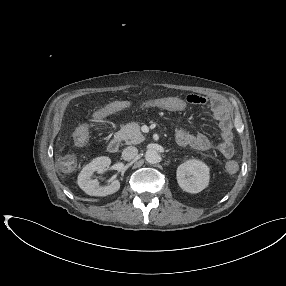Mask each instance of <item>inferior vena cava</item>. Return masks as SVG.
<instances>
[{"label": "inferior vena cava", "instance_id": "inferior-vena-cava-1", "mask_svg": "<svg viewBox=\"0 0 286 286\" xmlns=\"http://www.w3.org/2000/svg\"><path fill=\"white\" fill-rule=\"evenodd\" d=\"M138 154V149L134 146L125 148L122 152V158L126 161L134 159Z\"/></svg>", "mask_w": 286, "mask_h": 286}]
</instances>
